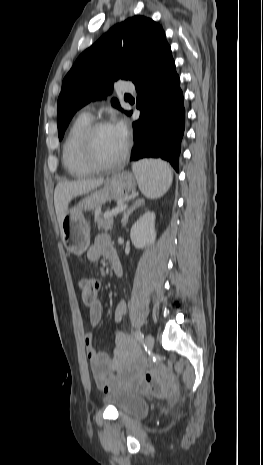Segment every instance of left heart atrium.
<instances>
[{
	"instance_id": "1",
	"label": "left heart atrium",
	"mask_w": 263,
	"mask_h": 465,
	"mask_svg": "<svg viewBox=\"0 0 263 465\" xmlns=\"http://www.w3.org/2000/svg\"><path fill=\"white\" fill-rule=\"evenodd\" d=\"M113 127L119 136L126 142L128 138V127L126 123L123 120H119L113 125Z\"/></svg>"
}]
</instances>
